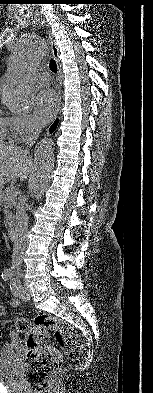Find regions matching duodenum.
<instances>
[{
	"instance_id": "duodenum-1",
	"label": "duodenum",
	"mask_w": 153,
	"mask_h": 393,
	"mask_svg": "<svg viewBox=\"0 0 153 393\" xmlns=\"http://www.w3.org/2000/svg\"><path fill=\"white\" fill-rule=\"evenodd\" d=\"M8 235L11 239H15L17 236V228L15 226H11L8 229Z\"/></svg>"
}]
</instances>
